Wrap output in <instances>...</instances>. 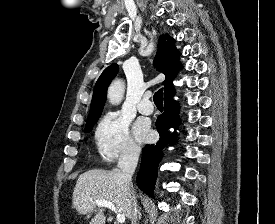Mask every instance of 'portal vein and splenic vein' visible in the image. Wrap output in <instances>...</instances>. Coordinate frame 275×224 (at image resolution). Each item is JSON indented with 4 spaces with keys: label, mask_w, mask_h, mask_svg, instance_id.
<instances>
[{
    "label": "portal vein and splenic vein",
    "mask_w": 275,
    "mask_h": 224,
    "mask_svg": "<svg viewBox=\"0 0 275 224\" xmlns=\"http://www.w3.org/2000/svg\"><path fill=\"white\" fill-rule=\"evenodd\" d=\"M95 204L98 207H107L110 210H112L113 212H115L117 214L116 216V220L118 223L123 224L126 220L125 216L123 214H121L120 212H118V210L116 209L115 205L110 202V201H106V200H96Z\"/></svg>",
    "instance_id": "portal-vein-and-splenic-vein-1"
}]
</instances>
